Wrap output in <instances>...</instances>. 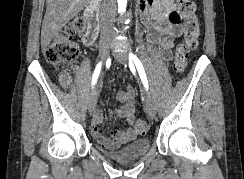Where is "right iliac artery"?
Segmentation results:
<instances>
[{
    "label": "right iliac artery",
    "instance_id": "82829eb1",
    "mask_svg": "<svg viewBox=\"0 0 244 179\" xmlns=\"http://www.w3.org/2000/svg\"><path fill=\"white\" fill-rule=\"evenodd\" d=\"M100 71H101V62H99L95 68V71H94V74H93V77H92V85H95L97 79H98V76L100 74Z\"/></svg>",
    "mask_w": 244,
    "mask_h": 179
}]
</instances>
